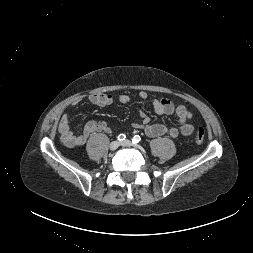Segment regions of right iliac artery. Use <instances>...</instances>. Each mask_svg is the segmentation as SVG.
Returning a JSON list of instances; mask_svg holds the SVG:
<instances>
[{
  "instance_id": "obj_1",
  "label": "right iliac artery",
  "mask_w": 253,
  "mask_h": 253,
  "mask_svg": "<svg viewBox=\"0 0 253 253\" xmlns=\"http://www.w3.org/2000/svg\"><path fill=\"white\" fill-rule=\"evenodd\" d=\"M125 138H126V135H125V134H119L118 137H117V139H118L119 141H123V140H125Z\"/></svg>"
}]
</instances>
